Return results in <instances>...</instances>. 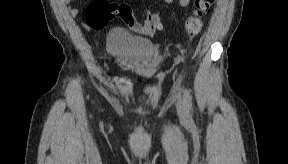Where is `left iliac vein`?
Listing matches in <instances>:
<instances>
[{"label": "left iliac vein", "mask_w": 288, "mask_h": 164, "mask_svg": "<svg viewBox=\"0 0 288 164\" xmlns=\"http://www.w3.org/2000/svg\"><path fill=\"white\" fill-rule=\"evenodd\" d=\"M176 107H177L178 116L183 120H187L188 111L186 109V106L182 97L178 98Z\"/></svg>", "instance_id": "1"}]
</instances>
